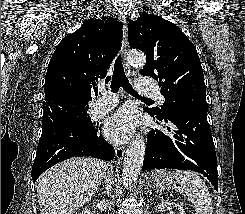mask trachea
<instances>
[{"label":"trachea","instance_id":"1","mask_svg":"<svg viewBox=\"0 0 245 214\" xmlns=\"http://www.w3.org/2000/svg\"><path fill=\"white\" fill-rule=\"evenodd\" d=\"M120 87H122L127 93H129L130 95H132L134 97L146 99V100H151V99L146 98V97H141L133 89L132 85L129 83V80L127 79V77L125 75L121 57L118 56L115 60V63H114L113 77H112V81H111V91L116 93Z\"/></svg>","mask_w":245,"mask_h":214}]
</instances>
